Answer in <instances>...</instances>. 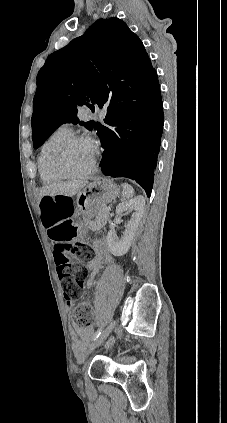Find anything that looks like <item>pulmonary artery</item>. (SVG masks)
<instances>
[{"mask_svg": "<svg viewBox=\"0 0 227 423\" xmlns=\"http://www.w3.org/2000/svg\"><path fill=\"white\" fill-rule=\"evenodd\" d=\"M79 118L80 120H92L93 118L96 119V117H93L92 111H80ZM62 128L71 132V128L69 124H64Z\"/></svg>", "mask_w": 227, "mask_h": 423, "instance_id": "1", "label": "pulmonary artery"}]
</instances>
